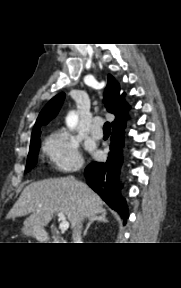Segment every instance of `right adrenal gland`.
<instances>
[{"mask_svg": "<svg viewBox=\"0 0 181 288\" xmlns=\"http://www.w3.org/2000/svg\"><path fill=\"white\" fill-rule=\"evenodd\" d=\"M95 221H96V222L107 223L108 220L106 219V211H103L102 213H100V215L93 216V217H91V218L89 219V222H88V224H87V226H86V229H85V231H84V233H83V236H86L89 227H90V226L92 225V223H94Z\"/></svg>", "mask_w": 181, "mask_h": 288, "instance_id": "right-adrenal-gland-1", "label": "right adrenal gland"}]
</instances>
